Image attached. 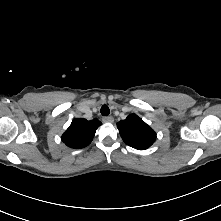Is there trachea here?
<instances>
[{"label": "trachea", "mask_w": 221, "mask_h": 221, "mask_svg": "<svg viewBox=\"0 0 221 221\" xmlns=\"http://www.w3.org/2000/svg\"><path fill=\"white\" fill-rule=\"evenodd\" d=\"M109 113H110L109 107H108L107 105H103V106L101 107V114H102L103 116H108Z\"/></svg>", "instance_id": "trachea-1"}]
</instances>
